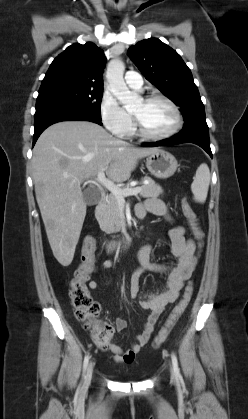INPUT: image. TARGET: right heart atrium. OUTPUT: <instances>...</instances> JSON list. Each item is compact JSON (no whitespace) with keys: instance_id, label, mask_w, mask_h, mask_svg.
Instances as JSON below:
<instances>
[{"instance_id":"1","label":"right heart atrium","mask_w":248,"mask_h":419,"mask_svg":"<svg viewBox=\"0 0 248 419\" xmlns=\"http://www.w3.org/2000/svg\"><path fill=\"white\" fill-rule=\"evenodd\" d=\"M103 125L117 137L127 136L132 126V117L110 93H104L99 105Z\"/></svg>"}]
</instances>
